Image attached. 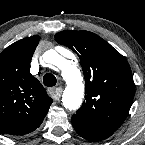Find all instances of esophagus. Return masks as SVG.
Instances as JSON below:
<instances>
[{"mask_svg":"<svg viewBox=\"0 0 145 145\" xmlns=\"http://www.w3.org/2000/svg\"><path fill=\"white\" fill-rule=\"evenodd\" d=\"M62 90L63 89L61 87H57V88H54V89H50L49 93L54 100L58 101L61 97Z\"/></svg>","mask_w":145,"mask_h":145,"instance_id":"obj_1","label":"esophagus"}]
</instances>
